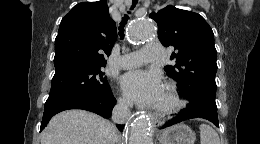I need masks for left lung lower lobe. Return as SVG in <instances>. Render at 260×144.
<instances>
[{
    "mask_svg": "<svg viewBox=\"0 0 260 144\" xmlns=\"http://www.w3.org/2000/svg\"><path fill=\"white\" fill-rule=\"evenodd\" d=\"M194 118H203L212 122L214 125L219 127L218 117H217V107L203 105L193 110H182L178 116L169 120L165 123L162 128L172 126L174 124L194 119Z\"/></svg>",
    "mask_w": 260,
    "mask_h": 144,
    "instance_id": "obj_1",
    "label": "left lung lower lobe"
}]
</instances>
